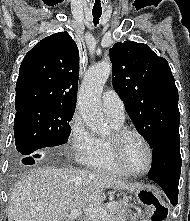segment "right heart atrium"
I'll list each match as a JSON object with an SVG mask.
<instances>
[{
    "mask_svg": "<svg viewBox=\"0 0 190 221\" xmlns=\"http://www.w3.org/2000/svg\"><path fill=\"white\" fill-rule=\"evenodd\" d=\"M96 137L88 130L83 119L75 113L69 122L68 144L74 158L86 163L95 149Z\"/></svg>",
    "mask_w": 190,
    "mask_h": 221,
    "instance_id": "1",
    "label": "right heart atrium"
}]
</instances>
